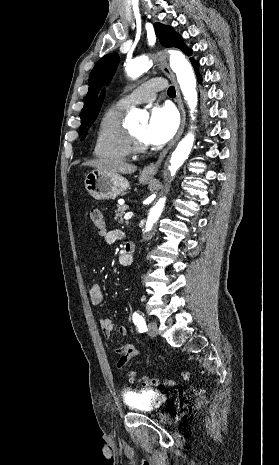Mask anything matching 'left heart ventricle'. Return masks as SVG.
<instances>
[{"label": "left heart ventricle", "mask_w": 279, "mask_h": 465, "mask_svg": "<svg viewBox=\"0 0 279 465\" xmlns=\"http://www.w3.org/2000/svg\"><path fill=\"white\" fill-rule=\"evenodd\" d=\"M145 128H146V125L145 124H141V125H138L134 128L131 129V131L143 142L146 143L145 139H144V132H145Z\"/></svg>", "instance_id": "left-heart-ventricle-1"}]
</instances>
